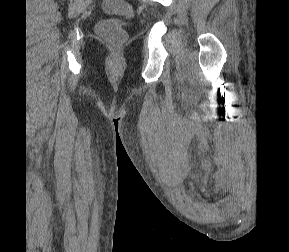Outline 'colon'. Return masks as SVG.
Masks as SVG:
<instances>
[{
	"instance_id": "5ec220e1",
	"label": "colon",
	"mask_w": 289,
	"mask_h": 252,
	"mask_svg": "<svg viewBox=\"0 0 289 252\" xmlns=\"http://www.w3.org/2000/svg\"><path fill=\"white\" fill-rule=\"evenodd\" d=\"M102 9L109 15H119L125 18H130L133 15L132 7L125 0H103ZM97 33L104 40L116 45L123 43L126 39L123 22L117 18H109L99 22Z\"/></svg>"
}]
</instances>
